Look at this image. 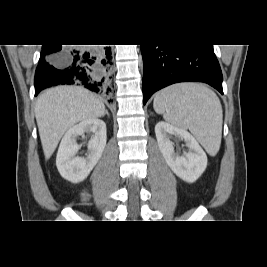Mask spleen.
I'll return each instance as SVG.
<instances>
[{
  "instance_id": "3e777b00",
  "label": "spleen",
  "mask_w": 267,
  "mask_h": 267,
  "mask_svg": "<svg viewBox=\"0 0 267 267\" xmlns=\"http://www.w3.org/2000/svg\"><path fill=\"white\" fill-rule=\"evenodd\" d=\"M154 110L172 125L189 129L207 153L215 156L221 144L223 113L219 98L199 83H179L159 91Z\"/></svg>"
}]
</instances>
